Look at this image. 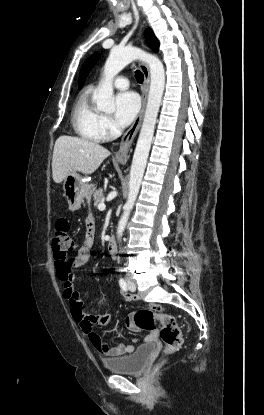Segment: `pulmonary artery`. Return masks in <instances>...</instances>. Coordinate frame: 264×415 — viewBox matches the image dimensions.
<instances>
[{"mask_svg":"<svg viewBox=\"0 0 264 415\" xmlns=\"http://www.w3.org/2000/svg\"><path fill=\"white\" fill-rule=\"evenodd\" d=\"M113 86L120 90H126L129 87V80L125 76H118L113 81Z\"/></svg>","mask_w":264,"mask_h":415,"instance_id":"1","label":"pulmonary artery"}]
</instances>
